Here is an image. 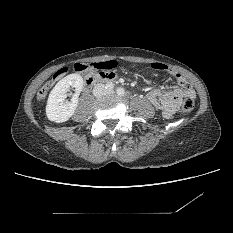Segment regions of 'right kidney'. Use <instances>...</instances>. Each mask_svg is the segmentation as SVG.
Wrapping results in <instances>:
<instances>
[{
    "label": "right kidney",
    "mask_w": 233,
    "mask_h": 233,
    "mask_svg": "<svg viewBox=\"0 0 233 233\" xmlns=\"http://www.w3.org/2000/svg\"><path fill=\"white\" fill-rule=\"evenodd\" d=\"M83 84L81 75L75 73L67 75L55 85L50 92L46 105V116L50 121L63 123L69 120L77 108L78 96L83 89ZM70 87L75 88V94L68 102L66 97Z\"/></svg>",
    "instance_id": "obj_1"
}]
</instances>
